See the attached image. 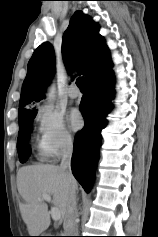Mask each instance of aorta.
<instances>
[{
    "label": "aorta",
    "instance_id": "762f6f07",
    "mask_svg": "<svg viewBox=\"0 0 158 237\" xmlns=\"http://www.w3.org/2000/svg\"><path fill=\"white\" fill-rule=\"evenodd\" d=\"M46 98L49 100V101H53L55 99V90L53 89V87H50L48 89V92L46 94Z\"/></svg>",
    "mask_w": 158,
    "mask_h": 237
}]
</instances>
